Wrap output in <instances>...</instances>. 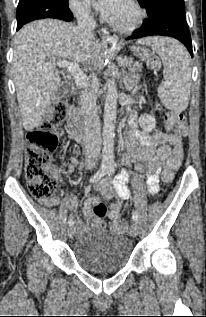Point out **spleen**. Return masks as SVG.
I'll use <instances>...</instances> for the list:
<instances>
[{"mask_svg":"<svg viewBox=\"0 0 206 317\" xmlns=\"http://www.w3.org/2000/svg\"><path fill=\"white\" fill-rule=\"evenodd\" d=\"M137 43L152 47L163 62L164 81L158 87L161 102L170 110L184 111L189 103L191 86V60L186 48L167 37H148Z\"/></svg>","mask_w":206,"mask_h":317,"instance_id":"1","label":"spleen"}]
</instances>
